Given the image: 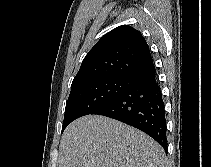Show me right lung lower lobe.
Returning <instances> with one entry per match:
<instances>
[{
    "instance_id": "98d812e1",
    "label": "right lung lower lobe",
    "mask_w": 211,
    "mask_h": 167,
    "mask_svg": "<svg viewBox=\"0 0 211 167\" xmlns=\"http://www.w3.org/2000/svg\"><path fill=\"white\" fill-rule=\"evenodd\" d=\"M128 80L126 90L93 114L140 129L167 152L165 107L154 64L128 76Z\"/></svg>"
}]
</instances>
